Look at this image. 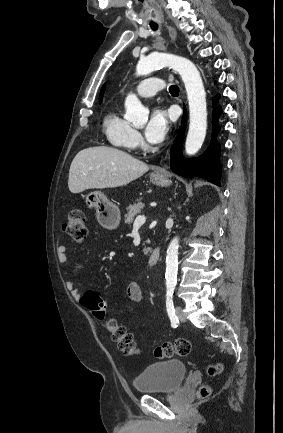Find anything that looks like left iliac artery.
Here are the masks:
<instances>
[{
    "instance_id": "1",
    "label": "left iliac artery",
    "mask_w": 283,
    "mask_h": 433,
    "mask_svg": "<svg viewBox=\"0 0 283 433\" xmlns=\"http://www.w3.org/2000/svg\"><path fill=\"white\" fill-rule=\"evenodd\" d=\"M173 293H174V288L169 287L167 289V294H166V308L172 326H174L175 323L179 322L178 317L175 315Z\"/></svg>"
}]
</instances>
